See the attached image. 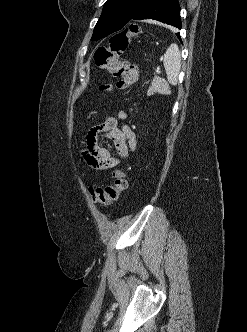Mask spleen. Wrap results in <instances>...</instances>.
Returning a JSON list of instances; mask_svg holds the SVG:
<instances>
[{"instance_id":"3e777b00","label":"spleen","mask_w":247,"mask_h":332,"mask_svg":"<svg viewBox=\"0 0 247 332\" xmlns=\"http://www.w3.org/2000/svg\"><path fill=\"white\" fill-rule=\"evenodd\" d=\"M163 65L167 74V80L171 85L178 83V76L181 69V55L176 44H171L163 56ZM160 92L167 93V90L159 88Z\"/></svg>"}]
</instances>
